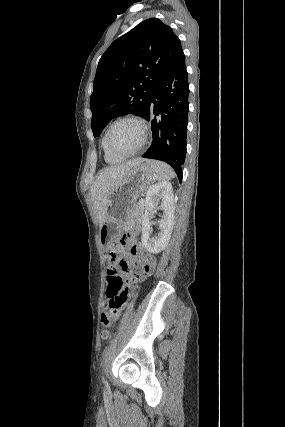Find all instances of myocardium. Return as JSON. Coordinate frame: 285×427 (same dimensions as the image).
Returning <instances> with one entry per match:
<instances>
[{
  "label": "myocardium",
  "instance_id": "myocardium-1",
  "mask_svg": "<svg viewBox=\"0 0 285 427\" xmlns=\"http://www.w3.org/2000/svg\"><path fill=\"white\" fill-rule=\"evenodd\" d=\"M125 121H131V122H134V123L138 124L139 127H140V129H141V133H142V137H141L140 143L138 144V146L135 149H133L130 152H120V151H117L114 148H112V146L110 145V142H109V136H110V133H111L113 127L115 125H117L118 123L125 122ZM148 134H149V127L147 125V122L143 118H141L139 116H136V115H125V116L117 118L116 120H114L109 125V127H108V129L106 130V133H105V144H106L107 149L112 154H115L117 156L126 158V157H130V156L135 155L136 153H138L145 146V144L147 143Z\"/></svg>",
  "mask_w": 285,
  "mask_h": 427
}]
</instances>
